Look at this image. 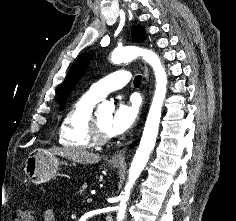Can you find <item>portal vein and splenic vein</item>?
<instances>
[{
	"mask_svg": "<svg viewBox=\"0 0 236 221\" xmlns=\"http://www.w3.org/2000/svg\"><path fill=\"white\" fill-rule=\"evenodd\" d=\"M92 200H93L92 198H88V199H87V202H88V203H91Z\"/></svg>",
	"mask_w": 236,
	"mask_h": 221,
	"instance_id": "1",
	"label": "portal vein and splenic vein"
}]
</instances>
